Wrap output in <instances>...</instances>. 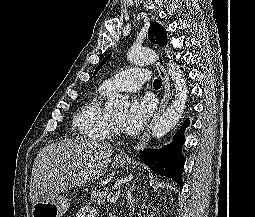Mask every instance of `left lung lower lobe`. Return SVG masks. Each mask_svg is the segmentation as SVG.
I'll return each instance as SVG.
<instances>
[{
    "label": "left lung lower lobe",
    "instance_id": "obj_1",
    "mask_svg": "<svg viewBox=\"0 0 255 217\" xmlns=\"http://www.w3.org/2000/svg\"><path fill=\"white\" fill-rule=\"evenodd\" d=\"M187 126H189L188 119L174 135L172 143L159 150L145 149L139 157L152 171L171 178L181 188L183 186L182 173L185 163L181 148L185 141L184 130Z\"/></svg>",
    "mask_w": 255,
    "mask_h": 217
}]
</instances>
